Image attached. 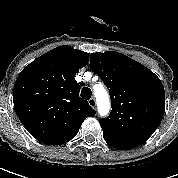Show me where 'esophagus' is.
<instances>
[{
	"mask_svg": "<svg viewBox=\"0 0 178 178\" xmlns=\"http://www.w3.org/2000/svg\"><path fill=\"white\" fill-rule=\"evenodd\" d=\"M88 102H89V105H90L93 109H96L97 103H96L95 98H91Z\"/></svg>",
	"mask_w": 178,
	"mask_h": 178,
	"instance_id": "esophagus-1",
	"label": "esophagus"
}]
</instances>
